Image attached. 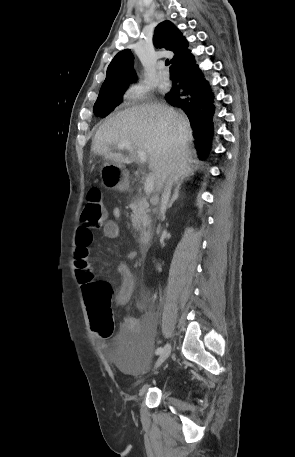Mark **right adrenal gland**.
<instances>
[{"instance_id":"1","label":"right adrenal gland","mask_w":295,"mask_h":457,"mask_svg":"<svg viewBox=\"0 0 295 457\" xmlns=\"http://www.w3.org/2000/svg\"><path fill=\"white\" fill-rule=\"evenodd\" d=\"M184 180L185 179L183 177H181L179 179V181L176 182V187H175L174 193H173V195H172V197H171V199H170V201L168 203V208L172 207L174 201L178 199L179 191H180L181 185L184 182Z\"/></svg>"}]
</instances>
